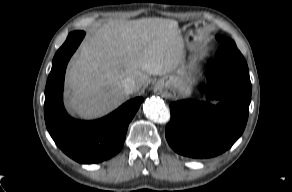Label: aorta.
Wrapping results in <instances>:
<instances>
[{
  "label": "aorta",
  "instance_id": "aorta-1",
  "mask_svg": "<svg viewBox=\"0 0 292 192\" xmlns=\"http://www.w3.org/2000/svg\"><path fill=\"white\" fill-rule=\"evenodd\" d=\"M143 111L147 117L158 123L167 122L170 118L164 101L158 97H151L143 103Z\"/></svg>",
  "mask_w": 292,
  "mask_h": 192
}]
</instances>
